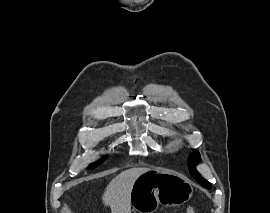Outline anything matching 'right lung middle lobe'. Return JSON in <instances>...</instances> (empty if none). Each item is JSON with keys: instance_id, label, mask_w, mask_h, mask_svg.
Returning a JSON list of instances; mask_svg holds the SVG:
<instances>
[{"instance_id": "obj_1", "label": "right lung middle lobe", "mask_w": 270, "mask_h": 213, "mask_svg": "<svg viewBox=\"0 0 270 213\" xmlns=\"http://www.w3.org/2000/svg\"><path fill=\"white\" fill-rule=\"evenodd\" d=\"M99 163H100V162H96V163H94V164H91V165H90V168L96 167L97 165H99Z\"/></svg>"}]
</instances>
